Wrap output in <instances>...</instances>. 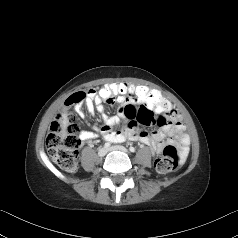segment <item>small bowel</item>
I'll list each match as a JSON object with an SVG mask.
<instances>
[{"instance_id": "c3829d8e", "label": "small bowel", "mask_w": 238, "mask_h": 238, "mask_svg": "<svg viewBox=\"0 0 238 238\" xmlns=\"http://www.w3.org/2000/svg\"><path fill=\"white\" fill-rule=\"evenodd\" d=\"M127 86V92L123 95L119 94L117 103H109L111 105L120 104L116 116H108L106 114L104 103H100L98 94H95L93 89L86 93L84 99L86 108L90 112L94 110L99 112L102 116L103 123L101 126H95L94 131H82L79 136L81 141L86 142L93 140L100 134L105 140L113 143H120L125 140L141 142L149 146L155 153H160L167 145L176 144L179 149L180 157L184 159L189 151L190 139L185 131L184 125L179 120L178 114L172 110L169 102L163 99L167 105V110L157 109L152 112V108L146 105V97L152 92L156 95L160 94L146 88V97L138 99L134 95L136 86ZM74 105L78 114L82 116L81 102ZM65 106L70 107L66 101ZM122 121H125L126 125L121 130L116 131V127ZM155 124H157L159 128L151 134L141 128V125L153 126Z\"/></svg>"}]
</instances>
